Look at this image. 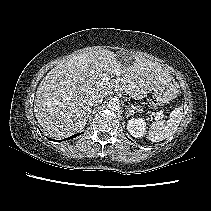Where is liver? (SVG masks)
I'll return each instance as SVG.
<instances>
[{
  "instance_id": "liver-1",
  "label": "liver",
  "mask_w": 211,
  "mask_h": 211,
  "mask_svg": "<svg viewBox=\"0 0 211 211\" xmlns=\"http://www.w3.org/2000/svg\"><path fill=\"white\" fill-rule=\"evenodd\" d=\"M116 71L120 75H116ZM116 75V79L103 80ZM172 76L157 62L138 56L124 64L109 50L81 53L63 60L40 82L34 100V114L52 137L63 138L83 130L91 112L90 96L155 87L172 82Z\"/></svg>"
}]
</instances>
